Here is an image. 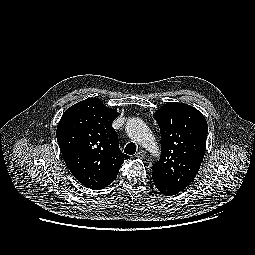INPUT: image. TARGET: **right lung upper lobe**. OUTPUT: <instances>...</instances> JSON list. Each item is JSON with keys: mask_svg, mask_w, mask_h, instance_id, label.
<instances>
[{"mask_svg": "<svg viewBox=\"0 0 255 255\" xmlns=\"http://www.w3.org/2000/svg\"><path fill=\"white\" fill-rule=\"evenodd\" d=\"M118 112L98 98L68 108L57 126V141L72 175L84 186L102 189L110 185L129 156L119 148L112 122Z\"/></svg>", "mask_w": 255, "mask_h": 255, "instance_id": "cb5924a9", "label": "right lung upper lobe"}]
</instances>
